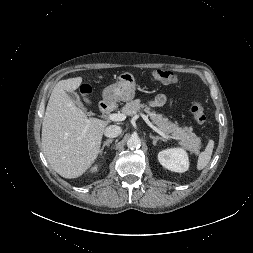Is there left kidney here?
<instances>
[{
    "label": "left kidney",
    "mask_w": 253,
    "mask_h": 253,
    "mask_svg": "<svg viewBox=\"0 0 253 253\" xmlns=\"http://www.w3.org/2000/svg\"><path fill=\"white\" fill-rule=\"evenodd\" d=\"M160 164L166 169L174 172H185L189 168V158L183 148L165 149L158 153Z\"/></svg>",
    "instance_id": "obj_1"
}]
</instances>
